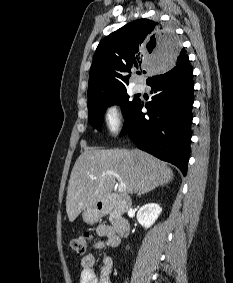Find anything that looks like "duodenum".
Masks as SVG:
<instances>
[{
	"mask_svg": "<svg viewBox=\"0 0 233 283\" xmlns=\"http://www.w3.org/2000/svg\"><path fill=\"white\" fill-rule=\"evenodd\" d=\"M128 207V201L124 196H112L98 203V211L101 214H114L112 229L117 237H125L129 233V223L120 214Z\"/></svg>",
	"mask_w": 233,
	"mask_h": 283,
	"instance_id": "410a0bca",
	"label": "duodenum"
}]
</instances>
